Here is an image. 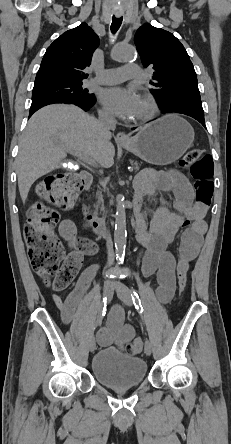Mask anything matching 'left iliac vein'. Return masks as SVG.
Returning <instances> with one entry per match:
<instances>
[{
  "label": "left iliac vein",
  "instance_id": "4c4485c4",
  "mask_svg": "<svg viewBox=\"0 0 231 444\" xmlns=\"http://www.w3.org/2000/svg\"><path fill=\"white\" fill-rule=\"evenodd\" d=\"M113 287L118 292V294L122 297L124 303L127 306L130 307L133 305L131 291L126 285H124L120 281H115L113 283ZM144 351H145L146 355H150L152 353V344L149 339L145 340Z\"/></svg>",
  "mask_w": 231,
  "mask_h": 444
}]
</instances>
